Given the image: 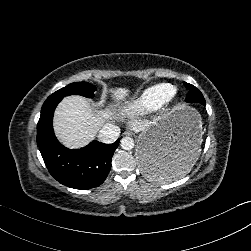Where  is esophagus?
<instances>
[{
  "label": "esophagus",
  "instance_id": "1",
  "mask_svg": "<svg viewBox=\"0 0 251 251\" xmlns=\"http://www.w3.org/2000/svg\"><path fill=\"white\" fill-rule=\"evenodd\" d=\"M124 135H133V133L128 131V132H124Z\"/></svg>",
  "mask_w": 251,
  "mask_h": 251
}]
</instances>
